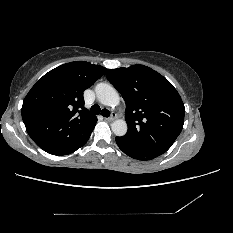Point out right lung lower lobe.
I'll return each mask as SVG.
<instances>
[{
	"instance_id": "1",
	"label": "right lung lower lobe",
	"mask_w": 233,
	"mask_h": 233,
	"mask_svg": "<svg viewBox=\"0 0 233 233\" xmlns=\"http://www.w3.org/2000/svg\"><path fill=\"white\" fill-rule=\"evenodd\" d=\"M94 127L91 129V131L86 135V137L84 138V140L76 148H74V149H72V150H70V151H68V152H66L65 154H62V155L70 154V153L76 151L77 149H79L80 147H82L88 141V139H89V137L91 135V132L93 131Z\"/></svg>"
}]
</instances>
